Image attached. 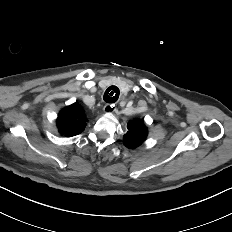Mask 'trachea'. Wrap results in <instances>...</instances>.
I'll return each mask as SVG.
<instances>
[{
  "label": "trachea",
  "mask_w": 232,
  "mask_h": 232,
  "mask_svg": "<svg viewBox=\"0 0 232 232\" xmlns=\"http://www.w3.org/2000/svg\"><path fill=\"white\" fill-rule=\"evenodd\" d=\"M119 89L116 86H110L104 93V101L107 103H115L119 98Z\"/></svg>",
  "instance_id": "3493384b"
}]
</instances>
